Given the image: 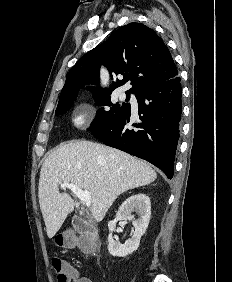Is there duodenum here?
<instances>
[{
  "instance_id": "410a0bca",
  "label": "duodenum",
  "mask_w": 232,
  "mask_h": 282,
  "mask_svg": "<svg viewBox=\"0 0 232 282\" xmlns=\"http://www.w3.org/2000/svg\"><path fill=\"white\" fill-rule=\"evenodd\" d=\"M73 225L79 233L87 236L88 240L90 241L91 247L94 250H97L99 247L97 230L79 216L74 217Z\"/></svg>"
}]
</instances>
